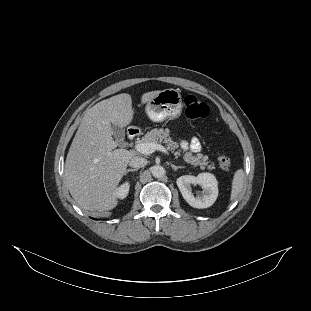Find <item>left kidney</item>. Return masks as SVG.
Listing matches in <instances>:
<instances>
[{"label": "left kidney", "mask_w": 311, "mask_h": 311, "mask_svg": "<svg viewBox=\"0 0 311 311\" xmlns=\"http://www.w3.org/2000/svg\"><path fill=\"white\" fill-rule=\"evenodd\" d=\"M177 186L185 201L193 208L204 209L210 207L216 200L218 188L216 179L208 173L198 176L184 175L177 179ZM192 186H199L202 191L192 193Z\"/></svg>", "instance_id": "5707ae66"}]
</instances>
